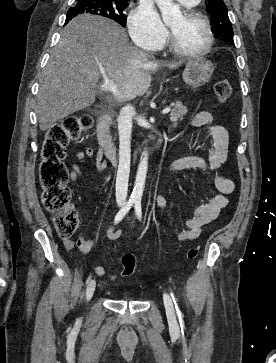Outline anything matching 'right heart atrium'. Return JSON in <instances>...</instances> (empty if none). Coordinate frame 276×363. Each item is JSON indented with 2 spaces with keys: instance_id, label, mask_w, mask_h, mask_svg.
<instances>
[{
  "instance_id": "d8ad5b80",
  "label": "right heart atrium",
  "mask_w": 276,
  "mask_h": 363,
  "mask_svg": "<svg viewBox=\"0 0 276 363\" xmlns=\"http://www.w3.org/2000/svg\"><path fill=\"white\" fill-rule=\"evenodd\" d=\"M129 29L135 43L145 49L158 50L167 41L168 31L155 9L139 4L129 16Z\"/></svg>"
}]
</instances>
